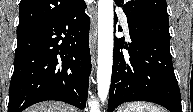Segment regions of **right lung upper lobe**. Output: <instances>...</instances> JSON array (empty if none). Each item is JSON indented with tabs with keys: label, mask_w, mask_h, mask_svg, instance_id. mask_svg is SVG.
Instances as JSON below:
<instances>
[{
	"label": "right lung upper lobe",
	"mask_w": 193,
	"mask_h": 112,
	"mask_svg": "<svg viewBox=\"0 0 193 112\" xmlns=\"http://www.w3.org/2000/svg\"><path fill=\"white\" fill-rule=\"evenodd\" d=\"M82 0H21L17 34L35 28L69 11Z\"/></svg>",
	"instance_id": "obj_1"
}]
</instances>
